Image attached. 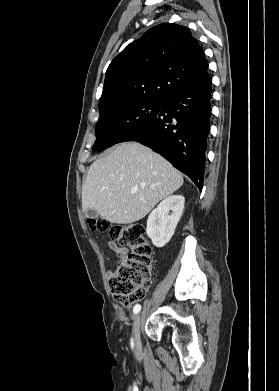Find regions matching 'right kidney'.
Wrapping results in <instances>:
<instances>
[{
	"label": "right kidney",
	"instance_id": "obj_1",
	"mask_svg": "<svg viewBox=\"0 0 279 391\" xmlns=\"http://www.w3.org/2000/svg\"><path fill=\"white\" fill-rule=\"evenodd\" d=\"M184 202L182 195L169 196L149 214L146 233L153 245L160 248L170 241L181 218Z\"/></svg>",
	"mask_w": 279,
	"mask_h": 391
}]
</instances>
